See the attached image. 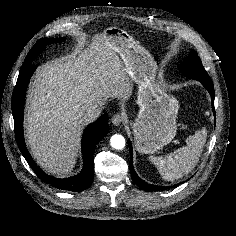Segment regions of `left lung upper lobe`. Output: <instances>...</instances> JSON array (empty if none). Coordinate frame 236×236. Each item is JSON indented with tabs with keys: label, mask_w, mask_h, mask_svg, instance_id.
<instances>
[{
	"label": "left lung upper lobe",
	"mask_w": 236,
	"mask_h": 236,
	"mask_svg": "<svg viewBox=\"0 0 236 236\" xmlns=\"http://www.w3.org/2000/svg\"><path fill=\"white\" fill-rule=\"evenodd\" d=\"M180 71L185 76L191 78H209L206 70L204 69L198 54L192 50L189 56L185 59L180 68Z\"/></svg>",
	"instance_id": "obj_1"
}]
</instances>
